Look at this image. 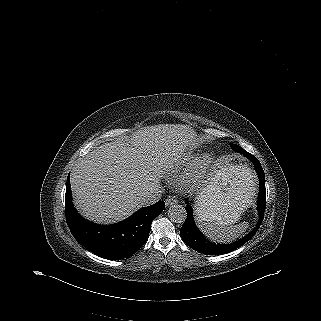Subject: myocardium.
I'll list each match as a JSON object with an SVG mask.
<instances>
[{"mask_svg":"<svg viewBox=\"0 0 321 321\" xmlns=\"http://www.w3.org/2000/svg\"><path fill=\"white\" fill-rule=\"evenodd\" d=\"M208 162H209V157H207V156L203 157L197 167V171L204 169L205 166H207ZM197 171H196V173H198ZM196 181H197V174H194L188 178L182 179L180 181V185L183 187H187V186H190L191 184L195 183Z\"/></svg>","mask_w":321,"mask_h":321,"instance_id":"f54148a6","label":"myocardium"}]
</instances>
